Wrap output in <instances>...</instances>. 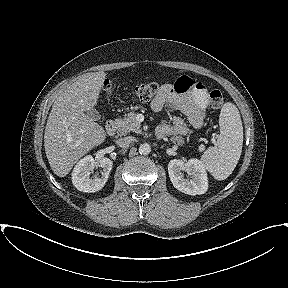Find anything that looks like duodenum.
<instances>
[{
  "label": "duodenum",
  "instance_id": "1",
  "mask_svg": "<svg viewBox=\"0 0 288 288\" xmlns=\"http://www.w3.org/2000/svg\"><path fill=\"white\" fill-rule=\"evenodd\" d=\"M118 125L115 119H110L106 123V131L110 136H113L117 131ZM158 137H162L161 134L157 132Z\"/></svg>",
  "mask_w": 288,
  "mask_h": 288
}]
</instances>
